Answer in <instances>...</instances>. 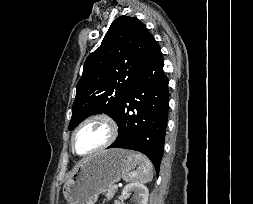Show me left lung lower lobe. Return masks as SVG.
Listing matches in <instances>:
<instances>
[{
	"instance_id": "1",
	"label": "left lung lower lobe",
	"mask_w": 253,
	"mask_h": 204,
	"mask_svg": "<svg viewBox=\"0 0 253 204\" xmlns=\"http://www.w3.org/2000/svg\"><path fill=\"white\" fill-rule=\"evenodd\" d=\"M163 66L162 53L157 45L124 102L116 120L118 137L108 147L144 153L157 172L164 150L169 108V81Z\"/></svg>"
}]
</instances>
